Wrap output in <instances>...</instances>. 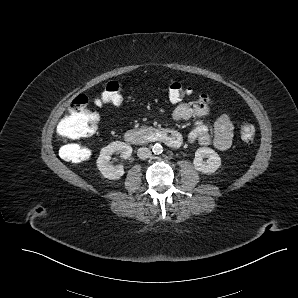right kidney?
Segmentation results:
<instances>
[{
  "label": "right kidney",
  "mask_w": 298,
  "mask_h": 298,
  "mask_svg": "<svg viewBox=\"0 0 298 298\" xmlns=\"http://www.w3.org/2000/svg\"><path fill=\"white\" fill-rule=\"evenodd\" d=\"M119 153L121 159H127L132 154V147L122 141H114L103 147L97 159V167L104 177L113 179L118 178L124 173L123 164L113 165L110 160L114 153Z\"/></svg>",
  "instance_id": "obj_1"
}]
</instances>
